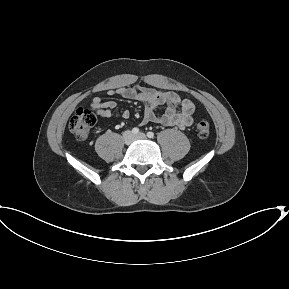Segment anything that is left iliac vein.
<instances>
[{
  "instance_id": "obj_1",
  "label": "left iliac vein",
  "mask_w": 289,
  "mask_h": 289,
  "mask_svg": "<svg viewBox=\"0 0 289 289\" xmlns=\"http://www.w3.org/2000/svg\"><path fill=\"white\" fill-rule=\"evenodd\" d=\"M146 138V135L144 133H139L138 135L135 136V139L138 140V139H145Z\"/></svg>"
}]
</instances>
